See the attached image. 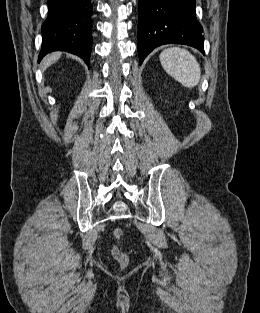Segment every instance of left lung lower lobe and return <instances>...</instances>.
Segmentation results:
<instances>
[{
  "instance_id": "obj_1",
  "label": "left lung lower lobe",
  "mask_w": 260,
  "mask_h": 313,
  "mask_svg": "<svg viewBox=\"0 0 260 313\" xmlns=\"http://www.w3.org/2000/svg\"><path fill=\"white\" fill-rule=\"evenodd\" d=\"M195 4V0H139L140 64L163 44H185L204 53L203 28L195 17Z\"/></svg>"
}]
</instances>
